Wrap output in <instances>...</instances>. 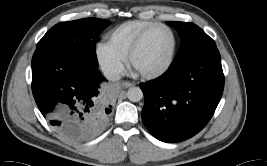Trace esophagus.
<instances>
[{
    "mask_svg": "<svg viewBox=\"0 0 267 166\" xmlns=\"http://www.w3.org/2000/svg\"><path fill=\"white\" fill-rule=\"evenodd\" d=\"M122 84H123V86H125L126 88H129V87H132V86H133V83H131V82H127V81L123 82Z\"/></svg>",
    "mask_w": 267,
    "mask_h": 166,
    "instance_id": "obj_1",
    "label": "esophagus"
}]
</instances>
